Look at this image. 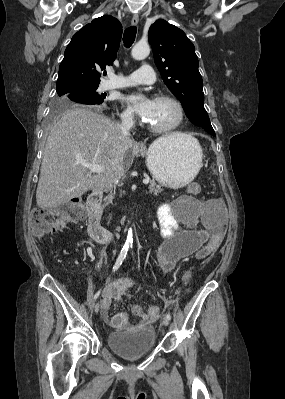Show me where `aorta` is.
<instances>
[{
  "mask_svg": "<svg viewBox=\"0 0 285 399\" xmlns=\"http://www.w3.org/2000/svg\"><path fill=\"white\" fill-rule=\"evenodd\" d=\"M150 53V47L148 43L138 42L134 45L131 51V55L136 60L145 59ZM133 245V231L132 228L128 229L127 238L125 241V247H132Z\"/></svg>",
  "mask_w": 285,
  "mask_h": 399,
  "instance_id": "obj_1",
  "label": "aorta"
}]
</instances>
